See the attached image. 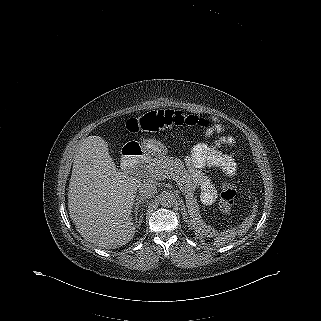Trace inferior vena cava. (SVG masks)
<instances>
[{"label":"inferior vena cava","mask_w":321,"mask_h":321,"mask_svg":"<svg viewBox=\"0 0 321 321\" xmlns=\"http://www.w3.org/2000/svg\"><path fill=\"white\" fill-rule=\"evenodd\" d=\"M139 193L143 198H152L157 193V186L152 181L146 180L139 185Z\"/></svg>","instance_id":"inferior-vena-cava-1"}]
</instances>
